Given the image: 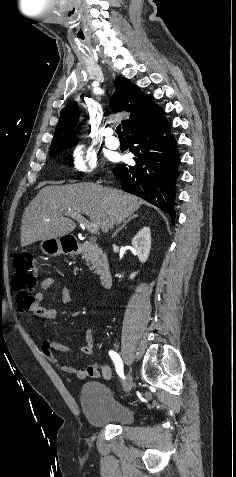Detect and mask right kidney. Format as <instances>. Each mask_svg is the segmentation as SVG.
Returning <instances> with one entry per match:
<instances>
[{"label": "right kidney", "mask_w": 236, "mask_h": 477, "mask_svg": "<svg viewBox=\"0 0 236 477\" xmlns=\"http://www.w3.org/2000/svg\"><path fill=\"white\" fill-rule=\"evenodd\" d=\"M132 246L140 262H146L151 249V232L149 227H143L136 234V236L132 239ZM135 275L136 272L132 273L130 275V279H133Z\"/></svg>", "instance_id": "obj_1"}]
</instances>
